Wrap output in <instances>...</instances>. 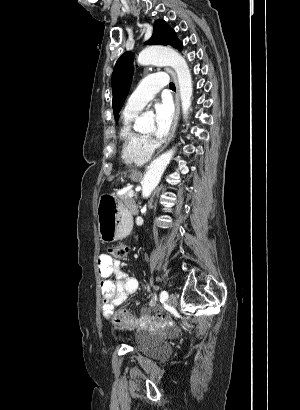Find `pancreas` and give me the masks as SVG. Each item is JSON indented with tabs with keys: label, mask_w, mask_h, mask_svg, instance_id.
I'll use <instances>...</instances> for the list:
<instances>
[{
	"label": "pancreas",
	"mask_w": 300,
	"mask_h": 410,
	"mask_svg": "<svg viewBox=\"0 0 300 410\" xmlns=\"http://www.w3.org/2000/svg\"><path fill=\"white\" fill-rule=\"evenodd\" d=\"M119 198L133 215L138 213L137 205L135 204L134 199L128 196V191L125 194L120 195Z\"/></svg>",
	"instance_id": "1"
}]
</instances>
